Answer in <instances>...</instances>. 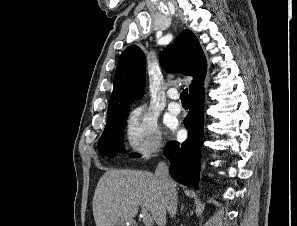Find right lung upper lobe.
<instances>
[{
	"label": "right lung upper lobe",
	"instance_id": "1",
	"mask_svg": "<svg viewBox=\"0 0 297 226\" xmlns=\"http://www.w3.org/2000/svg\"><path fill=\"white\" fill-rule=\"evenodd\" d=\"M161 65L167 71H179L193 77L190 94L203 86L207 62L196 36L189 30L183 31L164 52ZM145 57L136 45L128 47L118 59L114 77V89L109 109L130 107V104L144 93Z\"/></svg>",
	"mask_w": 297,
	"mask_h": 226
}]
</instances>
